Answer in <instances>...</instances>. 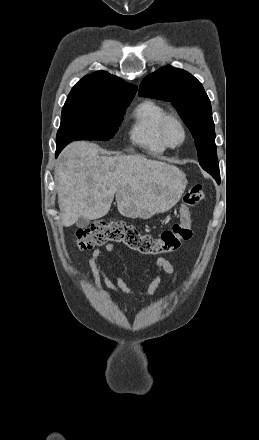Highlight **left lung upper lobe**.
<instances>
[{"instance_id": "left-lung-upper-lobe-1", "label": "left lung upper lobe", "mask_w": 259, "mask_h": 440, "mask_svg": "<svg viewBox=\"0 0 259 440\" xmlns=\"http://www.w3.org/2000/svg\"><path fill=\"white\" fill-rule=\"evenodd\" d=\"M139 95L171 102L192 133L201 167L219 181L211 104L202 84L188 72L167 66L145 77Z\"/></svg>"}]
</instances>
